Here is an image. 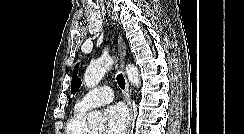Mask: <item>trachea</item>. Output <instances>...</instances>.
I'll return each instance as SVG.
<instances>
[{
	"label": "trachea",
	"instance_id": "obj_1",
	"mask_svg": "<svg viewBox=\"0 0 244 134\" xmlns=\"http://www.w3.org/2000/svg\"><path fill=\"white\" fill-rule=\"evenodd\" d=\"M117 83L121 89H125V79L122 74H118L116 77Z\"/></svg>",
	"mask_w": 244,
	"mask_h": 134
}]
</instances>
